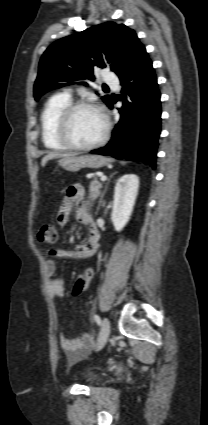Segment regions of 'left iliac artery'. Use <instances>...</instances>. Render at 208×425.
I'll use <instances>...</instances> for the list:
<instances>
[{"instance_id":"obj_1","label":"left iliac artery","mask_w":208,"mask_h":425,"mask_svg":"<svg viewBox=\"0 0 208 425\" xmlns=\"http://www.w3.org/2000/svg\"><path fill=\"white\" fill-rule=\"evenodd\" d=\"M94 320L96 321V323L98 325H101V319H100V317L97 314L94 315Z\"/></svg>"}]
</instances>
